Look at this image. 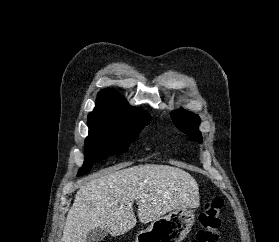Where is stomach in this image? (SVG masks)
<instances>
[{
	"mask_svg": "<svg viewBox=\"0 0 279 242\" xmlns=\"http://www.w3.org/2000/svg\"><path fill=\"white\" fill-rule=\"evenodd\" d=\"M195 221L192 209L181 207L153 221L136 236V242H181L191 231Z\"/></svg>",
	"mask_w": 279,
	"mask_h": 242,
	"instance_id": "0dacf381",
	"label": "stomach"
}]
</instances>
